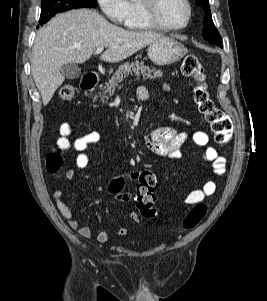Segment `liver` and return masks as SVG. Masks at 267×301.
Here are the masks:
<instances>
[{"instance_id": "6515ba94", "label": "liver", "mask_w": 267, "mask_h": 301, "mask_svg": "<svg viewBox=\"0 0 267 301\" xmlns=\"http://www.w3.org/2000/svg\"><path fill=\"white\" fill-rule=\"evenodd\" d=\"M161 37L112 25L94 10L76 9L56 15L37 32L32 49V75L43 104L49 103L64 82L60 71L64 64H82L99 47L107 48L101 60L116 63Z\"/></svg>"}]
</instances>
